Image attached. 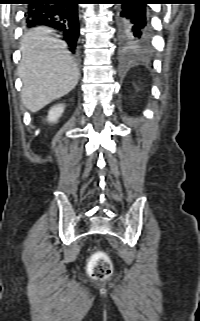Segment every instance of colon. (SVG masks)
<instances>
[{
	"instance_id": "1",
	"label": "colon",
	"mask_w": 200,
	"mask_h": 321,
	"mask_svg": "<svg viewBox=\"0 0 200 321\" xmlns=\"http://www.w3.org/2000/svg\"><path fill=\"white\" fill-rule=\"evenodd\" d=\"M112 272V265L104 253H96L90 263V273L94 278L102 279L108 277Z\"/></svg>"
}]
</instances>
